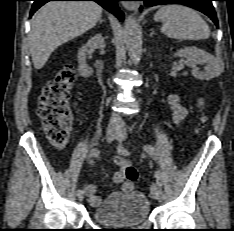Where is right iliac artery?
<instances>
[{"label":"right iliac artery","instance_id":"right-iliac-artery-1","mask_svg":"<svg viewBox=\"0 0 234 231\" xmlns=\"http://www.w3.org/2000/svg\"><path fill=\"white\" fill-rule=\"evenodd\" d=\"M98 155H99V150L97 148L91 149L90 156H92V157H98ZM83 192H84L83 190L79 189V190H77L76 193H77V195H79V194H81Z\"/></svg>","mask_w":234,"mask_h":231}]
</instances>
